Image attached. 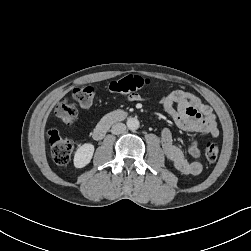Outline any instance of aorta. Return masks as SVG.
Listing matches in <instances>:
<instances>
[{
  "instance_id": "1",
  "label": "aorta",
  "mask_w": 251,
  "mask_h": 251,
  "mask_svg": "<svg viewBox=\"0 0 251 251\" xmlns=\"http://www.w3.org/2000/svg\"><path fill=\"white\" fill-rule=\"evenodd\" d=\"M126 124H127V128L131 131L137 130L140 126L139 120L135 117L128 118Z\"/></svg>"
}]
</instances>
